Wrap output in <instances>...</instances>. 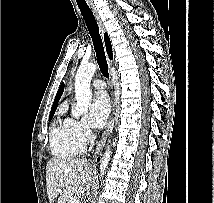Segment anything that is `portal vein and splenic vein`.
<instances>
[{
    "instance_id": "18ae733b",
    "label": "portal vein and splenic vein",
    "mask_w": 214,
    "mask_h": 203,
    "mask_svg": "<svg viewBox=\"0 0 214 203\" xmlns=\"http://www.w3.org/2000/svg\"><path fill=\"white\" fill-rule=\"evenodd\" d=\"M72 181H68L67 184H71ZM59 192H61V189H58ZM71 203H80L78 200H73Z\"/></svg>"
}]
</instances>
